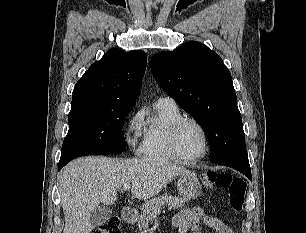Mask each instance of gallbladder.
<instances>
[{"mask_svg":"<svg viewBox=\"0 0 306 233\" xmlns=\"http://www.w3.org/2000/svg\"><path fill=\"white\" fill-rule=\"evenodd\" d=\"M111 215V211L105 206H97L91 212V222L95 225L103 224Z\"/></svg>","mask_w":306,"mask_h":233,"instance_id":"1","label":"gallbladder"}]
</instances>
